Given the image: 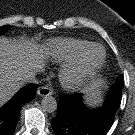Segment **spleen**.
Instances as JSON below:
<instances>
[{"instance_id": "spleen-1", "label": "spleen", "mask_w": 135, "mask_h": 135, "mask_svg": "<svg viewBox=\"0 0 135 135\" xmlns=\"http://www.w3.org/2000/svg\"><path fill=\"white\" fill-rule=\"evenodd\" d=\"M103 85L102 80H97L89 86L84 87L83 92L87 94L86 102L90 105H96L101 102V91L99 88Z\"/></svg>"}]
</instances>
